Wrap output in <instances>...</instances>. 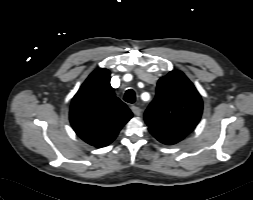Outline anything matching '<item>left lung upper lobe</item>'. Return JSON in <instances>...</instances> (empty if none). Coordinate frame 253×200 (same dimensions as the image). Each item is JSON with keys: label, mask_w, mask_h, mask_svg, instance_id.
Returning a JSON list of instances; mask_svg holds the SVG:
<instances>
[{"label": "left lung upper lobe", "mask_w": 253, "mask_h": 200, "mask_svg": "<svg viewBox=\"0 0 253 200\" xmlns=\"http://www.w3.org/2000/svg\"><path fill=\"white\" fill-rule=\"evenodd\" d=\"M156 92L144 115L149 130L187 136L202 114V99L194 85L174 70L160 78Z\"/></svg>", "instance_id": "obj_1"}]
</instances>
